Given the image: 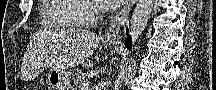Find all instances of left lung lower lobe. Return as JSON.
<instances>
[{
    "instance_id": "left-lung-lower-lobe-1",
    "label": "left lung lower lobe",
    "mask_w": 216,
    "mask_h": 90,
    "mask_svg": "<svg viewBox=\"0 0 216 90\" xmlns=\"http://www.w3.org/2000/svg\"><path fill=\"white\" fill-rule=\"evenodd\" d=\"M125 45L127 46L128 49H131V38L128 36Z\"/></svg>"
}]
</instances>
